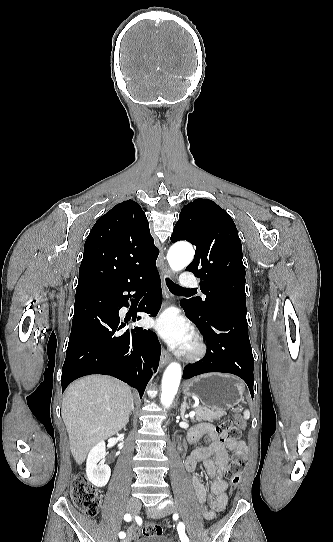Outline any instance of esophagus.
I'll use <instances>...</instances> for the list:
<instances>
[{"mask_svg": "<svg viewBox=\"0 0 333 542\" xmlns=\"http://www.w3.org/2000/svg\"><path fill=\"white\" fill-rule=\"evenodd\" d=\"M171 275H172L171 271L169 270L167 266H165L163 271L161 272V280H162L163 294L166 300H170V295L166 287L165 279L171 277ZM170 360H171V355L167 352V350L164 347H162L161 359H160L161 367H164L166 364H168Z\"/></svg>", "mask_w": 333, "mask_h": 542, "instance_id": "34e87169", "label": "esophagus"}]
</instances>
